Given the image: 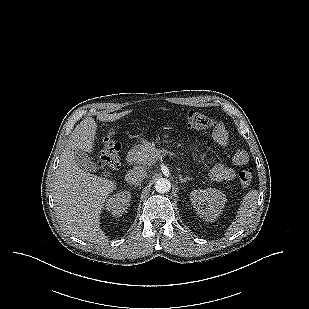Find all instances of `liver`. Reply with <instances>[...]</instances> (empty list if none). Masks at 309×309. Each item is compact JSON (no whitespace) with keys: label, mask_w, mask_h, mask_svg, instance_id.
<instances>
[{"label":"liver","mask_w":309,"mask_h":309,"mask_svg":"<svg viewBox=\"0 0 309 309\" xmlns=\"http://www.w3.org/2000/svg\"><path fill=\"white\" fill-rule=\"evenodd\" d=\"M130 112L99 115L98 119L112 122ZM96 130L92 117L82 120L73 130L55 171L53 200L57 217L67 231L82 240L102 244L108 238L100 227V214L115 190V181L86 172L74 158L76 149L93 151Z\"/></svg>","instance_id":"1"}]
</instances>
